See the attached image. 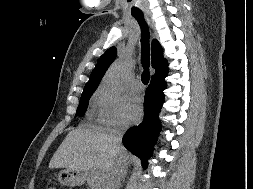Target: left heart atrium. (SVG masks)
I'll list each match as a JSON object with an SVG mask.
<instances>
[{
  "mask_svg": "<svg viewBox=\"0 0 253 189\" xmlns=\"http://www.w3.org/2000/svg\"><path fill=\"white\" fill-rule=\"evenodd\" d=\"M124 120L126 123L136 122L142 115V102L137 96H130L124 107Z\"/></svg>",
  "mask_w": 253,
  "mask_h": 189,
  "instance_id": "left-heart-atrium-1",
  "label": "left heart atrium"
}]
</instances>
